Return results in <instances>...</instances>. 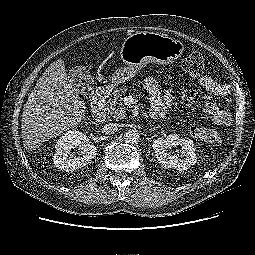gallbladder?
<instances>
[{
  "label": "gallbladder",
  "instance_id": "1",
  "mask_svg": "<svg viewBox=\"0 0 255 255\" xmlns=\"http://www.w3.org/2000/svg\"><path fill=\"white\" fill-rule=\"evenodd\" d=\"M68 80L78 93L90 94L93 78L89 70L84 66H75L69 70Z\"/></svg>",
  "mask_w": 255,
  "mask_h": 255
}]
</instances>
